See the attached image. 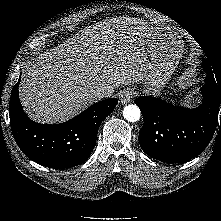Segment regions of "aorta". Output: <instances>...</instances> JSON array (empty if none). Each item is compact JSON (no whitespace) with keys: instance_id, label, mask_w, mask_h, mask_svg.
I'll use <instances>...</instances> for the list:
<instances>
[{"instance_id":"obj_1","label":"aorta","mask_w":221,"mask_h":221,"mask_svg":"<svg viewBox=\"0 0 221 221\" xmlns=\"http://www.w3.org/2000/svg\"><path fill=\"white\" fill-rule=\"evenodd\" d=\"M141 111L135 104H129L123 109V117L129 122H137L140 119Z\"/></svg>"}]
</instances>
